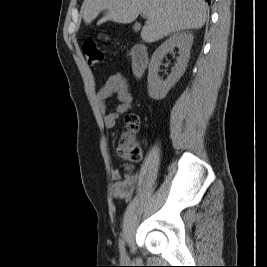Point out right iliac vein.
<instances>
[{
    "mask_svg": "<svg viewBox=\"0 0 267 267\" xmlns=\"http://www.w3.org/2000/svg\"><path fill=\"white\" fill-rule=\"evenodd\" d=\"M121 260H122L123 262L127 260V254H126L125 251L121 253Z\"/></svg>",
    "mask_w": 267,
    "mask_h": 267,
    "instance_id": "63e3f726",
    "label": "right iliac vein"
}]
</instances>
